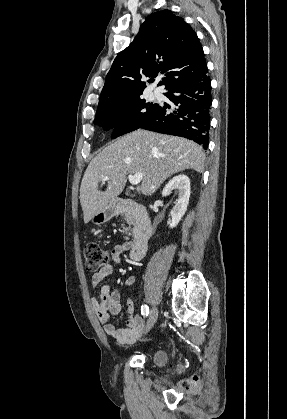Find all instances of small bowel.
<instances>
[{
	"label": "small bowel",
	"mask_w": 287,
	"mask_h": 419,
	"mask_svg": "<svg viewBox=\"0 0 287 419\" xmlns=\"http://www.w3.org/2000/svg\"><path fill=\"white\" fill-rule=\"evenodd\" d=\"M132 242H125L115 246L111 252V263L101 268L93 274L91 283L93 288L101 285L103 279L110 275L120 261V255L131 250ZM135 283L134 276H129L125 280L128 287H132ZM92 306L97 318L102 322L104 331L108 336L119 344H132L142 334L144 329L143 317L134 314V301L129 298L127 301V328H117L111 318L118 316L121 312V295L117 288H111L107 284L100 286L99 300L92 298Z\"/></svg>",
	"instance_id": "obj_1"
}]
</instances>
